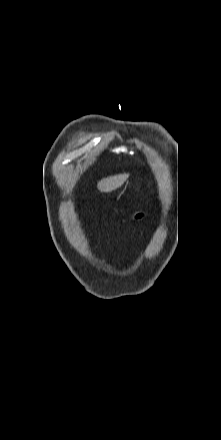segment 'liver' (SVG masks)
Wrapping results in <instances>:
<instances>
[{
  "mask_svg": "<svg viewBox=\"0 0 221 440\" xmlns=\"http://www.w3.org/2000/svg\"><path fill=\"white\" fill-rule=\"evenodd\" d=\"M129 174H119V175H115V176H111V177H107L102 179L98 185L97 188L101 191V192H111L119 187H121L124 182L127 180Z\"/></svg>",
  "mask_w": 221,
  "mask_h": 440,
  "instance_id": "1",
  "label": "liver"
}]
</instances>
